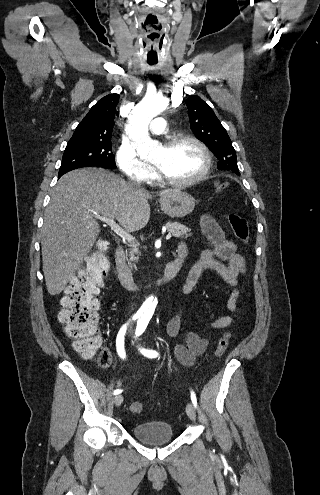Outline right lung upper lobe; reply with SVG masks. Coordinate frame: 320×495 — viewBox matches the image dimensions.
<instances>
[{
	"instance_id": "1",
	"label": "right lung upper lobe",
	"mask_w": 320,
	"mask_h": 495,
	"mask_svg": "<svg viewBox=\"0 0 320 495\" xmlns=\"http://www.w3.org/2000/svg\"><path fill=\"white\" fill-rule=\"evenodd\" d=\"M118 99L116 93L100 99L79 123L69 143L111 142Z\"/></svg>"
}]
</instances>
